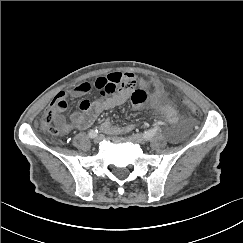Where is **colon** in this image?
I'll return each mask as SVG.
<instances>
[{
    "instance_id": "1",
    "label": "colon",
    "mask_w": 243,
    "mask_h": 243,
    "mask_svg": "<svg viewBox=\"0 0 243 243\" xmlns=\"http://www.w3.org/2000/svg\"><path fill=\"white\" fill-rule=\"evenodd\" d=\"M127 84V82H123L122 85ZM56 100V97L54 98L53 102ZM182 106L193 115H198L199 110L197 106L190 101L189 99L182 98L181 99ZM56 113L53 109H50L43 115L41 119V126L42 128L49 133L50 135H59L62 130L59 126L54 125L53 122H55Z\"/></svg>"
}]
</instances>
